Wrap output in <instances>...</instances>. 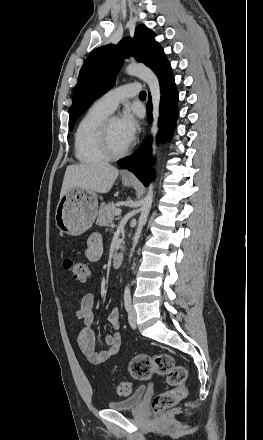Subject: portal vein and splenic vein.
I'll return each instance as SVG.
<instances>
[{
    "instance_id": "obj_1",
    "label": "portal vein and splenic vein",
    "mask_w": 263,
    "mask_h": 440,
    "mask_svg": "<svg viewBox=\"0 0 263 440\" xmlns=\"http://www.w3.org/2000/svg\"><path fill=\"white\" fill-rule=\"evenodd\" d=\"M121 214V210L120 209H117L116 211H115V215H120Z\"/></svg>"
}]
</instances>
